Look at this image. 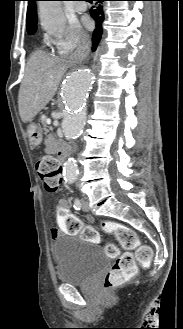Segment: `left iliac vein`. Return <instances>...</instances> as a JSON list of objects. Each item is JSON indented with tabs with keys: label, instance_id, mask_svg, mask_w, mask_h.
<instances>
[{
	"label": "left iliac vein",
	"instance_id": "4c4485c4",
	"mask_svg": "<svg viewBox=\"0 0 183 329\" xmlns=\"http://www.w3.org/2000/svg\"><path fill=\"white\" fill-rule=\"evenodd\" d=\"M89 209H90V208H89L88 201L83 200V201H82V210L85 211V212H88Z\"/></svg>",
	"mask_w": 183,
	"mask_h": 329
}]
</instances>
